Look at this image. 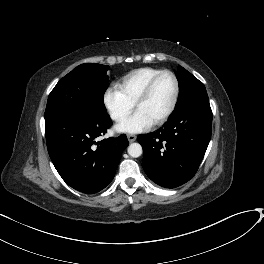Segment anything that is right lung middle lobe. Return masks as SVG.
<instances>
[{"mask_svg": "<svg viewBox=\"0 0 264 264\" xmlns=\"http://www.w3.org/2000/svg\"><path fill=\"white\" fill-rule=\"evenodd\" d=\"M109 66L85 63L64 76L51 91L45 120L82 113H107L103 96L109 86Z\"/></svg>", "mask_w": 264, "mask_h": 264, "instance_id": "dd1d6c3e", "label": "right lung middle lobe"}]
</instances>
